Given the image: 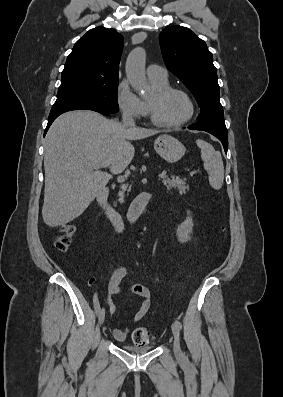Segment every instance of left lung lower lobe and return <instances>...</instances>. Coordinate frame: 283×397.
<instances>
[{"mask_svg": "<svg viewBox=\"0 0 283 397\" xmlns=\"http://www.w3.org/2000/svg\"><path fill=\"white\" fill-rule=\"evenodd\" d=\"M190 130L206 131L216 136L223 144L224 150H228V132L226 126H220L215 123L197 122L188 127Z\"/></svg>", "mask_w": 283, "mask_h": 397, "instance_id": "0a47b994", "label": "left lung lower lobe"}]
</instances>
